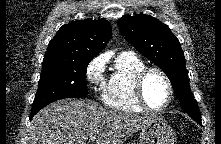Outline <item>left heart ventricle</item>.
<instances>
[{
  "instance_id": "obj_1",
  "label": "left heart ventricle",
  "mask_w": 221,
  "mask_h": 144,
  "mask_svg": "<svg viewBox=\"0 0 221 144\" xmlns=\"http://www.w3.org/2000/svg\"><path fill=\"white\" fill-rule=\"evenodd\" d=\"M144 95L149 106L159 108L168 98V88L164 79L157 73H151L144 83Z\"/></svg>"
}]
</instances>
